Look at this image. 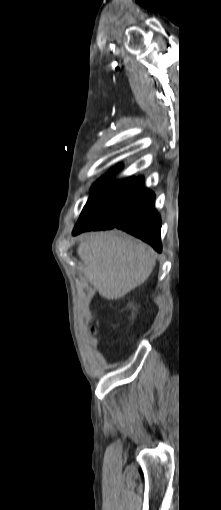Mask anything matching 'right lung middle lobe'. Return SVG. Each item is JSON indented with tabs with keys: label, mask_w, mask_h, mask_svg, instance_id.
I'll list each match as a JSON object with an SVG mask.
<instances>
[{
	"label": "right lung middle lobe",
	"mask_w": 221,
	"mask_h": 510,
	"mask_svg": "<svg viewBox=\"0 0 221 510\" xmlns=\"http://www.w3.org/2000/svg\"><path fill=\"white\" fill-rule=\"evenodd\" d=\"M121 168L119 165L116 169ZM136 180L131 177L114 181L110 172L94 184L86 205L103 218L116 219L121 215Z\"/></svg>",
	"instance_id": "1"
}]
</instances>
